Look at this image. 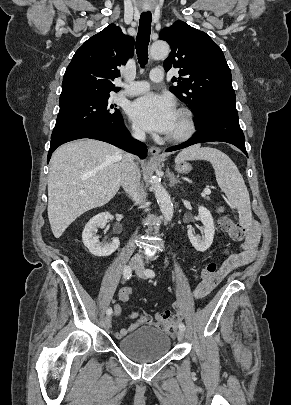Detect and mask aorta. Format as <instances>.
<instances>
[{
  "instance_id": "762f6f07",
  "label": "aorta",
  "mask_w": 291,
  "mask_h": 405,
  "mask_svg": "<svg viewBox=\"0 0 291 405\" xmlns=\"http://www.w3.org/2000/svg\"><path fill=\"white\" fill-rule=\"evenodd\" d=\"M169 51V45L165 41H156L151 46L150 56L154 60H162L168 56ZM150 182L162 214L166 220H171L174 209L169 193L157 180V178H152Z\"/></svg>"
}]
</instances>
